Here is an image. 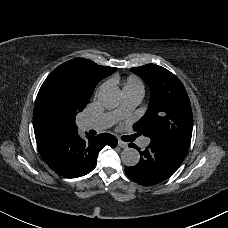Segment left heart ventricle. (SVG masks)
<instances>
[{
	"label": "left heart ventricle",
	"mask_w": 228,
	"mask_h": 228,
	"mask_svg": "<svg viewBox=\"0 0 228 228\" xmlns=\"http://www.w3.org/2000/svg\"><path fill=\"white\" fill-rule=\"evenodd\" d=\"M123 114H124V111L123 110L116 111V113L114 115V120L120 119L123 116Z\"/></svg>",
	"instance_id": "left-heart-ventricle-1"
}]
</instances>
